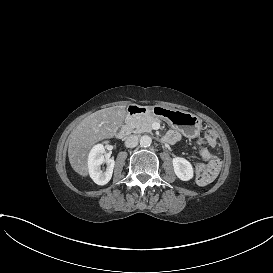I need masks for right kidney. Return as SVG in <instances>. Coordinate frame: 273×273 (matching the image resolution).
I'll return each mask as SVG.
<instances>
[{"mask_svg": "<svg viewBox=\"0 0 273 273\" xmlns=\"http://www.w3.org/2000/svg\"><path fill=\"white\" fill-rule=\"evenodd\" d=\"M104 153V146L102 144H97L91 149L88 156L89 175L98 185H105L110 181L115 165L114 159L105 158L103 155ZM103 163L107 164L106 171L104 172L100 168Z\"/></svg>", "mask_w": 273, "mask_h": 273, "instance_id": "obj_1", "label": "right kidney"}]
</instances>
